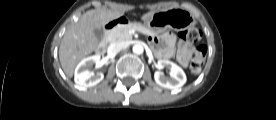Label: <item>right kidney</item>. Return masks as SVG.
Segmentation results:
<instances>
[{"label": "right kidney", "mask_w": 276, "mask_h": 120, "mask_svg": "<svg viewBox=\"0 0 276 120\" xmlns=\"http://www.w3.org/2000/svg\"><path fill=\"white\" fill-rule=\"evenodd\" d=\"M100 62L99 55H93L84 58L76 67L74 74L75 83L81 88H88L97 85L103 80L104 75L101 72H90V68L93 65H97Z\"/></svg>", "instance_id": "right-kidney-1"}]
</instances>
